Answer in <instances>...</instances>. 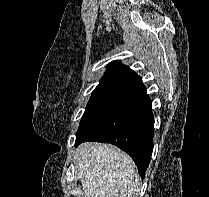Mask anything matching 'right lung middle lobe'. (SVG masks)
<instances>
[{
	"instance_id": "obj_1",
	"label": "right lung middle lobe",
	"mask_w": 209,
	"mask_h": 197,
	"mask_svg": "<svg viewBox=\"0 0 209 197\" xmlns=\"http://www.w3.org/2000/svg\"><path fill=\"white\" fill-rule=\"evenodd\" d=\"M140 93L116 84H99L93 91L80 121L79 130L103 117L113 109L129 102Z\"/></svg>"
}]
</instances>
